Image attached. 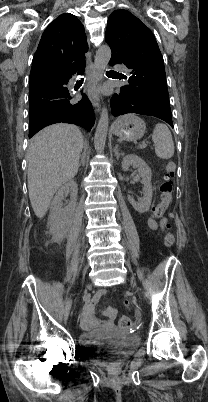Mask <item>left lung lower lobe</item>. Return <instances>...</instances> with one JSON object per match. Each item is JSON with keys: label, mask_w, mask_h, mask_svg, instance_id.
<instances>
[{"label": "left lung lower lobe", "mask_w": 208, "mask_h": 402, "mask_svg": "<svg viewBox=\"0 0 208 402\" xmlns=\"http://www.w3.org/2000/svg\"><path fill=\"white\" fill-rule=\"evenodd\" d=\"M117 63H121L119 57L112 54L109 64L113 66ZM110 106L113 116L127 113L149 115L160 118L173 127L170 104L156 100L135 88L121 87L120 92L111 98Z\"/></svg>", "instance_id": "1"}]
</instances>
